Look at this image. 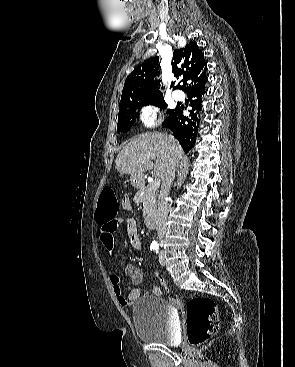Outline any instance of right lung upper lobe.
Instances as JSON below:
<instances>
[{
    "label": "right lung upper lobe",
    "mask_w": 295,
    "mask_h": 367,
    "mask_svg": "<svg viewBox=\"0 0 295 367\" xmlns=\"http://www.w3.org/2000/svg\"><path fill=\"white\" fill-rule=\"evenodd\" d=\"M159 57L147 59L127 77L123 87L119 108L132 101H147L163 97L154 77L159 75ZM175 77L181 78L183 91L187 93L192 88L200 86L207 81L204 55L196 43L190 42L184 48L173 53L172 61ZM174 83H171V87ZM178 88L177 87H174Z\"/></svg>",
    "instance_id": "1"
}]
</instances>
